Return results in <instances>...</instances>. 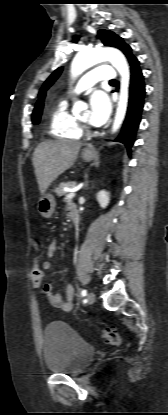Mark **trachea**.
Wrapping results in <instances>:
<instances>
[{"instance_id":"1","label":"trachea","mask_w":168,"mask_h":415,"mask_svg":"<svg viewBox=\"0 0 168 415\" xmlns=\"http://www.w3.org/2000/svg\"><path fill=\"white\" fill-rule=\"evenodd\" d=\"M110 83H115V80H111Z\"/></svg>"}]
</instances>
